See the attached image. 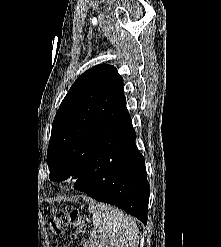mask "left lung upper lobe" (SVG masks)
Here are the masks:
<instances>
[{"mask_svg": "<svg viewBox=\"0 0 221 247\" xmlns=\"http://www.w3.org/2000/svg\"><path fill=\"white\" fill-rule=\"evenodd\" d=\"M127 116L123 78L114 66L97 65L79 76L52 124L47 154L49 179L77 178L106 129Z\"/></svg>", "mask_w": 221, "mask_h": 247, "instance_id": "5c2ea615", "label": "left lung upper lobe"}]
</instances>
